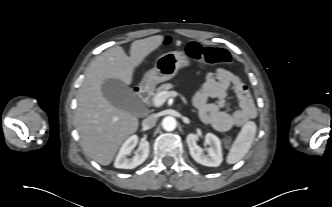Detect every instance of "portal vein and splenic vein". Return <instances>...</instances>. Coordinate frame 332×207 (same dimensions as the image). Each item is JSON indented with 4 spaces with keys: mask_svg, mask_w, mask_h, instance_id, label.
<instances>
[{
    "mask_svg": "<svg viewBox=\"0 0 332 207\" xmlns=\"http://www.w3.org/2000/svg\"><path fill=\"white\" fill-rule=\"evenodd\" d=\"M170 96H172V92L163 91V92L159 93V94L155 97L153 103H154V105H155L156 107H159V106H161V105L166 101V99H167L168 97H170Z\"/></svg>",
    "mask_w": 332,
    "mask_h": 207,
    "instance_id": "obj_1",
    "label": "portal vein and splenic vein"
}]
</instances>
